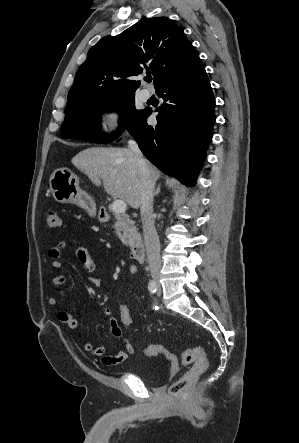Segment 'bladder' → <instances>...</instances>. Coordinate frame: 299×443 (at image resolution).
<instances>
[{
  "mask_svg": "<svg viewBox=\"0 0 299 443\" xmlns=\"http://www.w3.org/2000/svg\"><path fill=\"white\" fill-rule=\"evenodd\" d=\"M140 363L143 364V362ZM133 373L149 385H158L163 382L169 374L168 371L157 373L154 370H148L146 367H142V365L136 366Z\"/></svg>",
  "mask_w": 299,
  "mask_h": 443,
  "instance_id": "obj_1",
  "label": "bladder"
}]
</instances>
